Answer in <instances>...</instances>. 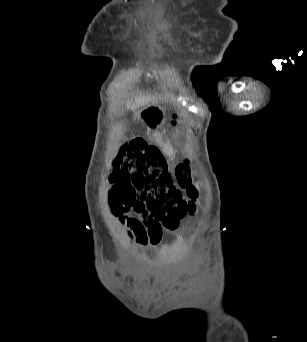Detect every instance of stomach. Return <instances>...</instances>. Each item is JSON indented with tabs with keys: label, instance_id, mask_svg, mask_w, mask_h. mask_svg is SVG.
Here are the masks:
<instances>
[{
	"label": "stomach",
	"instance_id": "1",
	"mask_svg": "<svg viewBox=\"0 0 307 342\" xmlns=\"http://www.w3.org/2000/svg\"><path fill=\"white\" fill-rule=\"evenodd\" d=\"M137 118L152 125H159L164 121V112L158 107H149L139 111Z\"/></svg>",
	"mask_w": 307,
	"mask_h": 342
}]
</instances>
